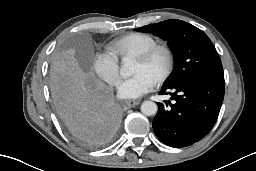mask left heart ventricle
Here are the masks:
<instances>
[{
	"label": "left heart ventricle",
	"instance_id": "left-heart-ventricle-1",
	"mask_svg": "<svg viewBox=\"0 0 256 171\" xmlns=\"http://www.w3.org/2000/svg\"><path fill=\"white\" fill-rule=\"evenodd\" d=\"M164 67V60L162 57H157L150 63H143L136 59L134 70L135 74L144 73L149 76L153 81L157 78V76L161 73Z\"/></svg>",
	"mask_w": 256,
	"mask_h": 171
}]
</instances>
